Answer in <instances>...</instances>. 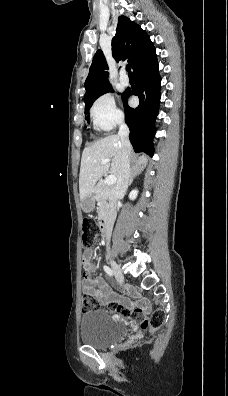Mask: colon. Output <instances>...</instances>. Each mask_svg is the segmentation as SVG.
Segmentation results:
<instances>
[{
    "label": "colon",
    "instance_id": "1",
    "mask_svg": "<svg viewBox=\"0 0 228 396\" xmlns=\"http://www.w3.org/2000/svg\"><path fill=\"white\" fill-rule=\"evenodd\" d=\"M93 229H94V222L88 218L84 219L83 224H82V242H83V245L85 248L83 259L87 256L88 247L90 246V242H91L90 241V231ZM99 306H100L99 301L92 295L85 294L83 296L82 310L84 312L96 310L99 308ZM112 310L118 311L122 316L127 317V318L136 316V314L131 312L129 309L123 308L121 306H119V307L112 306ZM139 318H140V316H139ZM164 318H165L164 313L160 310H157V311L153 312L150 316H148L147 318H145L141 321V327L143 329L156 330L162 326V324L164 322Z\"/></svg>",
    "mask_w": 228,
    "mask_h": 396
}]
</instances>
